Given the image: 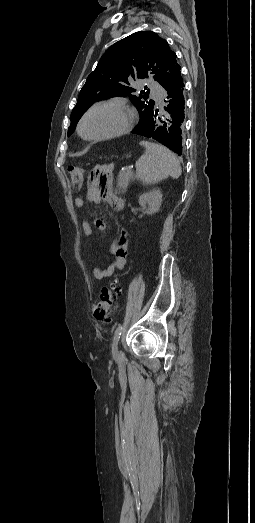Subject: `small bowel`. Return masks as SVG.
Here are the masks:
<instances>
[{
  "label": "small bowel",
  "instance_id": "obj_1",
  "mask_svg": "<svg viewBox=\"0 0 255 523\" xmlns=\"http://www.w3.org/2000/svg\"><path fill=\"white\" fill-rule=\"evenodd\" d=\"M100 197L109 202L115 211H121L123 209L124 204L122 199L114 195L112 192V180L110 178L105 182V184L102 185L100 194L94 187H92L89 189L86 196V198L91 201H97ZM75 205L78 208L84 207L85 199L83 197H77L75 199ZM93 225L100 231H104L107 228L105 220L101 218H95L93 220ZM81 227L84 237L89 238L93 232L91 223H89L87 220H83ZM127 248L128 234L125 230H122L119 239L113 242L111 245V253L115 257L114 262L105 269H102L96 265H92L91 273L93 277L96 280H103L107 277H110L116 270L121 271L126 263Z\"/></svg>",
  "mask_w": 255,
  "mask_h": 523
}]
</instances>
